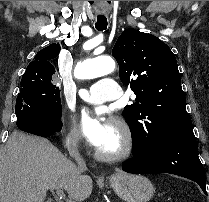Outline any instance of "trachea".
I'll use <instances>...</instances> for the list:
<instances>
[{
  "mask_svg": "<svg viewBox=\"0 0 209 202\" xmlns=\"http://www.w3.org/2000/svg\"><path fill=\"white\" fill-rule=\"evenodd\" d=\"M95 28L98 31H103L107 29V18L104 15L97 16V22L95 24Z\"/></svg>",
  "mask_w": 209,
  "mask_h": 202,
  "instance_id": "trachea-1",
  "label": "trachea"
}]
</instances>
